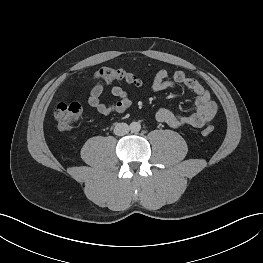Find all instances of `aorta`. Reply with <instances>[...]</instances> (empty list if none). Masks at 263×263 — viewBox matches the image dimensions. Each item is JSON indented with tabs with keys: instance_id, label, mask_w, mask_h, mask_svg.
<instances>
[{
	"instance_id": "aorta-1",
	"label": "aorta",
	"mask_w": 263,
	"mask_h": 263,
	"mask_svg": "<svg viewBox=\"0 0 263 263\" xmlns=\"http://www.w3.org/2000/svg\"><path fill=\"white\" fill-rule=\"evenodd\" d=\"M140 129H141V125H140L139 122H132V123L130 124V130H131L132 132L137 133V132L140 131Z\"/></svg>"
}]
</instances>
